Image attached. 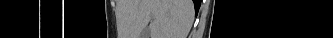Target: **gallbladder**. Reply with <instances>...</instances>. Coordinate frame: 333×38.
<instances>
[{
    "label": "gallbladder",
    "instance_id": "gallbladder-1",
    "mask_svg": "<svg viewBox=\"0 0 333 38\" xmlns=\"http://www.w3.org/2000/svg\"><path fill=\"white\" fill-rule=\"evenodd\" d=\"M140 38H149L150 37V29L149 27H146L142 30L141 34H140Z\"/></svg>",
    "mask_w": 333,
    "mask_h": 38
}]
</instances>
